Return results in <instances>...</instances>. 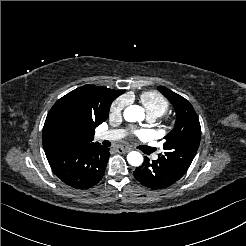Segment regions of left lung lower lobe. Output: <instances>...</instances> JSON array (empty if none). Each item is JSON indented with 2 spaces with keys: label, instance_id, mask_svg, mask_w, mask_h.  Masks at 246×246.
<instances>
[{
  "label": "left lung lower lobe",
  "instance_id": "0a47b994",
  "mask_svg": "<svg viewBox=\"0 0 246 246\" xmlns=\"http://www.w3.org/2000/svg\"><path fill=\"white\" fill-rule=\"evenodd\" d=\"M134 176L143 186L156 190L171 186L183 175L159 159L150 162L145 157L144 163L134 171Z\"/></svg>",
  "mask_w": 246,
  "mask_h": 246
}]
</instances>
